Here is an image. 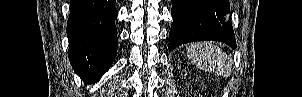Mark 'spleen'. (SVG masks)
<instances>
[{"instance_id":"spleen-1","label":"spleen","mask_w":302,"mask_h":97,"mask_svg":"<svg viewBox=\"0 0 302 97\" xmlns=\"http://www.w3.org/2000/svg\"><path fill=\"white\" fill-rule=\"evenodd\" d=\"M188 59L199 69L229 76L232 64L227 54L212 42L192 43L187 48Z\"/></svg>"}]
</instances>
